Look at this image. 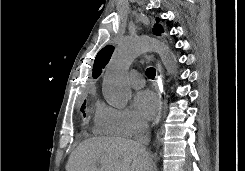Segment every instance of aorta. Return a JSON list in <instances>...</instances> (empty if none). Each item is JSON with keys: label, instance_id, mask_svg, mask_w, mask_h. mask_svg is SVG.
Returning a JSON list of instances; mask_svg holds the SVG:
<instances>
[{"label": "aorta", "instance_id": "aorta-1", "mask_svg": "<svg viewBox=\"0 0 245 171\" xmlns=\"http://www.w3.org/2000/svg\"><path fill=\"white\" fill-rule=\"evenodd\" d=\"M152 51L159 54L170 75L176 73V57L164 42L149 36L125 38L114 52L103 81L102 93L109 105L119 109L127 106L132 92L126 74L138 56Z\"/></svg>", "mask_w": 245, "mask_h": 171}]
</instances>
